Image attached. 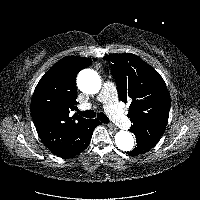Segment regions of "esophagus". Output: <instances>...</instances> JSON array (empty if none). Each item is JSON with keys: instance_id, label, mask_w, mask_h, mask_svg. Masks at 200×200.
Masks as SVG:
<instances>
[{"instance_id": "34e87169", "label": "esophagus", "mask_w": 200, "mask_h": 200, "mask_svg": "<svg viewBox=\"0 0 200 200\" xmlns=\"http://www.w3.org/2000/svg\"><path fill=\"white\" fill-rule=\"evenodd\" d=\"M108 127H109L112 131H116V130H117V128H116L114 125H112V124H108Z\"/></svg>"}]
</instances>
